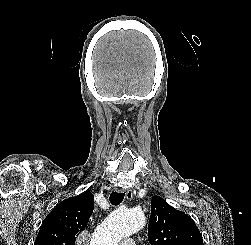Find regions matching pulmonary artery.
Returning a JSON list of instances; mask_svg holds the SVG:
<instances>
[{"instance_id":"e3ab8cb5","label":"pulmonary artery","mask_w":251,"mask_h":245,"mask_svg":"<svg viewBox=\"0 0 251 245\" xmlns=\"http://www.w3.org/2000/svg\"><path fill=\"white\" fill-rule=\"evenodd\" d=\"M120 245H135V243L130 239H126V240L122 241L120 243Z\"/></svg>"}]
</instances>
